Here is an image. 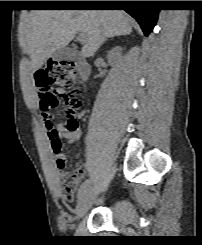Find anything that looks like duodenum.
Segmentation results:
<instances>
[{
	"mask_svg": "<svg viewBox=\"0 0 202 245\" xmlns=\"http://www.w3.org/2000/svg\"><path fill=\"white\" fill-rule=\"evenodd\" d=\"M77 70H78V77L80 81L87 80L90 74V66L85 60L83 59L78 60Z\"/></svg>",
	"mask_w": 202,
	"mask_h": 245,
	"instance_id": "410a0bca",
	"label": "duodenum"
}]
</instances>
